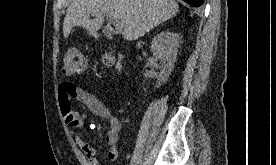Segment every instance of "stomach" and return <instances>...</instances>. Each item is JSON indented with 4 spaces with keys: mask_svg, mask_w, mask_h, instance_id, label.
I'll list each match as a JSON object with an SVG mask.
<instances>
[{
    "mask_svg": "<svg viewBox=\"0 0 276 165\" xmlns=\"http://www.w3.org/2000/svg\"><path fill=\"white\" fill-rule=\"evenodd\" d=\"M90 34H92V35H93L94 33H93V32H90Z\"/></svg>",
    "mask_w": 276,
    "mask_h": 165,
    "instance_id": "0dacf381",
    "label": "stomach"
}]
</instances>
